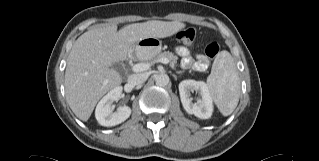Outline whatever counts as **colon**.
<instances>
[{"instance_id":"obj_1","label":"colon","mask_w":319,"mask_h":161,"mask_svg":"<svg viewBox=\"0 0 319 161\" xmlns=\"http://www.w3.org/2000/svg\"><path fill=\"white\" fill-rule=\"evenodd\" d=\"M197 32L194 28H185L179 30L176 34V39L180 43L186 45H192L196 39ZM220 50L219 43L217 41H210L203 47V54L207 58H214Z\"/></svg>"}]
</instances>
